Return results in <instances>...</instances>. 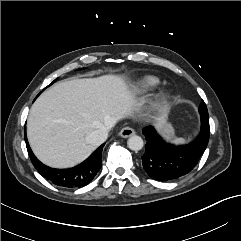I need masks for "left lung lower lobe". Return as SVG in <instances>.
Here are the masks:
<instances>
[{"instance_id":"1","label":"left lung lower lobe","mask_w":241,"mask_h":241,"mask_svg":"<svg viewBox=\"0 0 241 241\" xmlns=\"http://www.w3.org/2000/svg\"><path fill=\"white\" fill-rule=\"evenodd\" d=\"M146 145L142 166L157 181H170L188 174L198 163L209 141V122H201L199 135L189 144L174 146L165 142L152 126L143 129Z\"/></svg>"}]
</instances>
